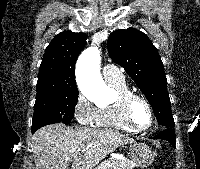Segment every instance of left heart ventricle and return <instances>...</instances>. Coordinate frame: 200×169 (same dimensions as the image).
Listing matches in <instances>:
<instances>
[{
    "mask_svg": "<svg viewBox=\"0 0 200 169\" xmlns=\"http://www.w3.org/2000/svg\"><path fill=\"white\" fill-rule=\"evenodd\" d=\"M130 113L132 121L137 127H146L149 124L150 113L147 106L142 101H134Z\"/></svg>",
    "mask_w": 200,
    "mask_h": 169,
    "instance_id": "left-heart-ventricle-1",
    "label": "left heart ventricle"
}]
</instances>
